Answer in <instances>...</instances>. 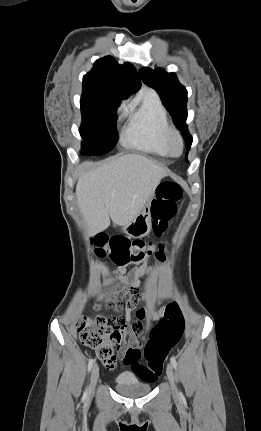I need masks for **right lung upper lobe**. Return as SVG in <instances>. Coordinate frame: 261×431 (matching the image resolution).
<instances>
[{"label": "right lung upper lobe", "instance_id": "cb5924a9", "mask_svg": "<svg viewBox=\"0 0 261 431\" xmlns=\"http://www.w3.org/2000/svg\"><path fill=\"white\" fill-rule=\"evenodd\" d=\"M140 86L134 66L128 62L120 65L111 56L98 59L93 69L83 77V89L108 92L123 99Z\"/></svg>", "mask_w": 261, "mask_h": 431}]
</instances>
